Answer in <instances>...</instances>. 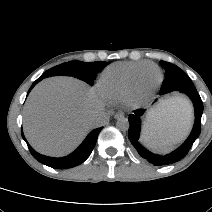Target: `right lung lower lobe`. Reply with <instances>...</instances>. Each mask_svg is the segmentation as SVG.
<instances>
[{
  "instance_id": "right-lung-lower-lobe-1",
  "label": "right lung lower lobe",
  "mask_w": 212,
  "mask_h": 212,
  "mask_svg": "<svg viewBox=\"0 0 212 212\" xmlns=\"http://www.w3.org/2000/svg\"><path fill=\"white\" fill-rule=\"evenodd\" d=\"M46 78L44 74H42L30 87L28 93L31 91V89L42 79ZM103 127L94 129L91 131L88 136L85 138V140L82 142V144L70 155L66 157H61V158H54V157H48L41 155L37 153L28 143V148L32 154V156L38 160L40 163H43L49 167H52L54 169H67V168H72L75 167L81 163H83L91 154L98 135L100 131L102 130ZM21 135L23 139L26 141L23 132L21 131ZM27 142V141H26Z\"/></svg>"
}]
</instances>
